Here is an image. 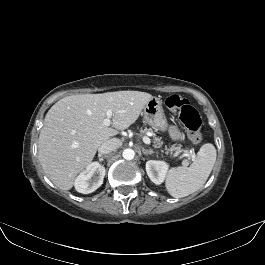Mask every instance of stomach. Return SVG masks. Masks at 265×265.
I'll list each match as a JSON object with an SVG mask.
<instances>
[{
	"label": "stomach",
	"mask_w": 265,
	"mask_h": 265,
	"mask_svg": "<svg viewBox=\"0 0 265 265\" xmlns=\"http://www.w3.org/2000/svg\"><path fill=\"white\" fill-rule=\"evenodd\" d=\"M145 122L156 131H166L168 121L162 108V100L157 97H152L143 109Z\"/></svg>",
	"instance_id": "1"
}]
</instances>
